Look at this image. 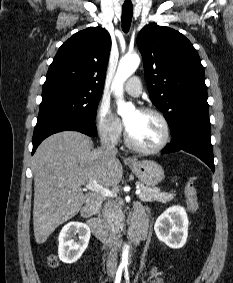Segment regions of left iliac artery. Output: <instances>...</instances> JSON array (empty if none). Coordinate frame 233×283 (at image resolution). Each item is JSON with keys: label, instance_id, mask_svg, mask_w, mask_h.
<instances>
[{"label": "left iliac artery", "instance_id": "obj_1", "mask_svg": "<svg viewBox=\"0 0 233 283\" xmlns=\"http://www.w3.org/2000/svg\"><path fill=\"white\" fill-rule=\"evenodd\" d=\"M125 279H126V283L130 282V277H129V273H128V269H125Z\"/></svg>", "mask_w": 233, "mask_h": 283}]
</instances>
